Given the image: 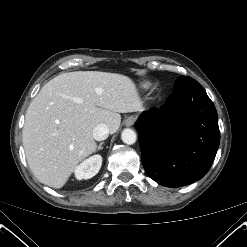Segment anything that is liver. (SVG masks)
Returning <instances> with one entry per match:
<instances>
[{"mask_svg":"<svg viewBox=\"0 0 247 247\" xmlns=\"http://www.w3.org/2000/svg\"><path fill=\"white\" fill-rule=\"evenodd\" d=\"M142 109L136 84L127 76L100 71L56 76L26 112L22 136L31 171L41 183L63 187L77 165L96 151L93 129L98 124L114 134L119 113Z\"/></svg>","mask_w":247,"mask_h":247,"instance_id":"1","label":"liver"}]
</instances>
